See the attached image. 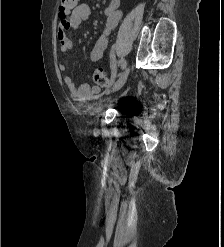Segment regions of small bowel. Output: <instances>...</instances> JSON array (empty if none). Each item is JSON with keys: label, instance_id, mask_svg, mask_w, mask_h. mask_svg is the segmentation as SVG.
Instances as JSON below:
<instances>
[{"label": "small bowel", "instance_id": "obj_1", "mask_svg": "<svg viewBox=\"0 0 224 247\" xmlns=\"http://www.w3.org/2000/svg\"><path fill=\"white\" fill-rule=\"evenodd\" d=\"M106 16V23L103 31L96 39L91 51L90 59L92 61L100 60L107 48L109 35L111 31L118 25L123 13L120 9V0H111L104 10ZM91 16V8L87 4L78 5L72 14L59 24L57 33V39L60 44V50L63 53L70 51L73 47L71 39L67 36L69 30L78 29L82 22L88 20ZM59 70L61 72L67 71L66 64H60ZM64 83L70 92L71 96L78 100H89L100 92L99 86L90 87L87 84H83L80 87H76L73 79L69 76L64 78Z\"/></svg>", "mask_w": 224, "mask_h": 247}]
</instances>
